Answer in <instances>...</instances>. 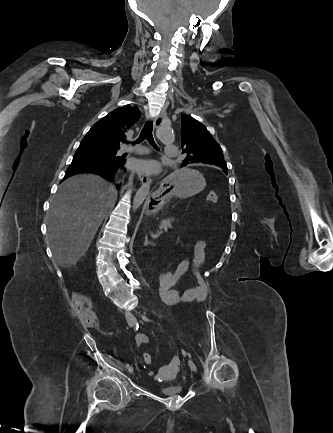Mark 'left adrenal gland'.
I'll return each mask as SVG.
<instances>
[{
    "mask_svg": "<svg viewBox=\"0 0 333 433\" xmlns=\"http://www.w3.org/2000/svg\"><path fill=\"white\" fill-rule=\"evenodd\" d=\"M148 245L154 246L155 244H154L153 242H149V241H148V236L146 235V236H145L144 246H148Z\"/></svg>",
    "mask_w": 333,
    "mask_h": 433,
    "instance_id": "left-adrenal-gland-1",
    "label": "left adrenal gland"
}]
</instances>
